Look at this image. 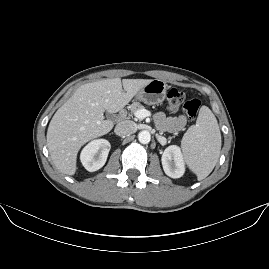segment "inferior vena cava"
Listing matches in <instances>:
<instances>
[{"instance_id":"inferior-vena-cava-1","label":"inferior vena cava","mask_w":269,"mask_h":269,"mask_svg":"<svg viewBox=\"0 0 269 269\" xmlns=\"http://www.w3.org/2000/svg\"><path fill=\"white\" fill-rule=\"evenodd\" d=\"M137 131V125L135 122L125 120L118 123L115 127V133L118 136L131 135Z\"/></svg>"}]
</instances>
